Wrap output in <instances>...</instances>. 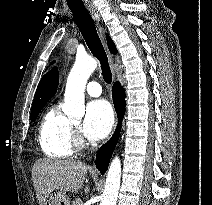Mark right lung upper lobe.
I'll return each instance as SVG.
<instances>
[{"label": "right lung upper lobe", "instance_id": "obj_1", "mask_svg": "<svg viewBox=\"0 0 212 205\" xmlns=\"http://www.w3.org/2000/svg\"><path fill=\"white\" fill-rule=\"evenodd\" d=\"M107 43L110 52L116 54L117 49L109 37H107ZM58 79L57 68H53L49 73L42 77L36 90L32 107L45 105L49 99L54 96L58 87Z\"/></svg>", "mask_w": 212, "mask_h": 205}]
</instances>
